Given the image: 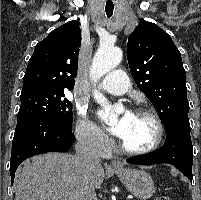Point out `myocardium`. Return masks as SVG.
Listing matches in <instances>:
<instances>
[{"label": "myocardium", "instance_id": "1", "mask_svg": "<svg viewBox=\"0 0 201 200\" xmlns=\"http://www.w3.org/2000/svg\"><path fill=\"white\" fill-rule=\"evenodd\" d=\"M132 113L138 114V115H145L154 122V124L156 126V131H157L156 138L151 145H149L148 147L142 148V149L129 148L120 139V141H119L120 149L124 153L130 154V155H145V154L154 152L162 144L164 135H165V129H164V125H163L161 118L158 116V114L156 112H154L153 110H151L147 107H143V106L136 107Z\"/></svg>", "mask_w": 201, "mask_h": 200}]
</instances>
